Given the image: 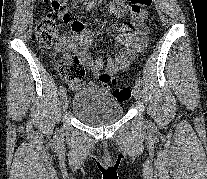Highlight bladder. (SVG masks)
Returning <instances> with one entry per match:
<instances>
[{
    "label": "bladder",
    "mask_w": 207,
    "mask_h": 179,
    "mask_svg": "<svg viewBox=\"0 0 207 179\" xmlns=\"http://www.w3.org/2000/svg\"><path fill=\"white\" fill-rule=\"evenodd\" d=\"M72 112L82 122L92 126L113 123L123 115L122 101L96 83H87L73 98Z\"/></svg>",
    "instance_id": "31cf9c89"
}]
</instances>
